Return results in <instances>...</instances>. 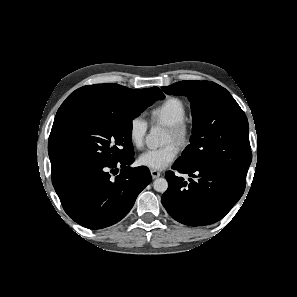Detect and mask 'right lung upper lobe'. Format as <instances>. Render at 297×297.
Segmentation results:
<instances>
[{
    "instance_id": "cb5924a9",
    "label": "right lung upper lobe",
    "mask_w": 297,
    "mask_h": 297,
    "mask_svg": "<svg viewBox=\"0 0 297 297\" xmlns=\"http://www.w3.org/2000/svg\"><path fill=\"white\" fill-rule=\"evenodd\" d=\"M148 89L159 94L163 99L165 98L158 87ZM136 91L139 90L129 89L118 84H95L83 86L72 92L58 109L49 137L48 152L52 171L55 168V161L52 156V146L50 142L53 140L57 129L61 124L84 112L102 109H117L124 105ZM58 176H55L52 173V178Z\"/></svg>"
}]
</instances>
